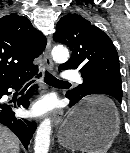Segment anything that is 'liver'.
<instances>
[{"label": "liver", "mask_w": 130, "mask_h": 153, "mask_svg": "<svg viewBox=\"0 0 130 153\" xmlns=\"http://www.w3.org/2000/svg\"><path fill=\"white\" fill-rule=\"evenodd\" d=\"M0 153H19L18 138L2 125H0Z\"/></svg>", "instance_id": "liver-1"}]
</instances>
